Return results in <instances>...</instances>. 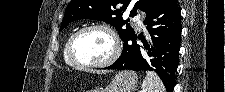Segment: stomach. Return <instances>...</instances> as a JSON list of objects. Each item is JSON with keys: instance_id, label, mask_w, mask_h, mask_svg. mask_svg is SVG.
<instances>
[{"instance_id": "1", "label": "stomach", "mask_w": 225, "mask_h": 92, "mask_svg": "<svg viewBox=\"0 0 225 92\" xmlns=\"http://www.w3.org/2000/svg\"><path fill=\"white\" fill-rule=\"evenodd\" d=\"M138 83V76L134 71H120L105 89H96L91 92H133Z\"/></svg>"}]
</instances>
